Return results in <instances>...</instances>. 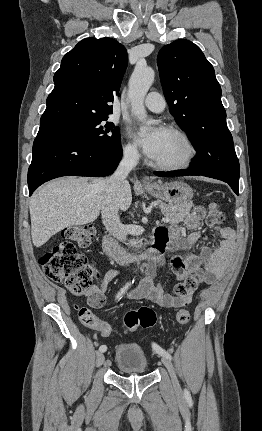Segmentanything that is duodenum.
<instances>
[{
  "mask_svg": "<svg viewBox=\"0 0 262 431\" xmlns=\"http://www.w3.org/2000/svg\"><path fill=\"white\" fill-rule=\"evenodd\" d=\"M160 245V239L155 238V244L153 248L146 252L136 255L126 252L120 247V245L109 235L105 234L103 237V252L106 256L112 258L115 262L121 265L134 263L136 261L148 262L156 253Z\"/></svg>",
  "mask_w": 262,
  "mask_h": 431,
  "instance_id": "1",
  "label": "duodenum"
}]
</instances>
